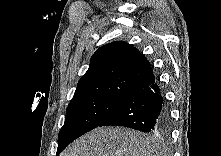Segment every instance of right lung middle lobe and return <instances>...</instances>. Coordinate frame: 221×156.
Wrapping results in <instances>:
<instances>
[{
	"label": "right lung middle lobe",
	"instance_id": "obj_1",
	"mask_svg": "<svg viewBox=\"0 0 221 156\" xmlns=\"http://www.w3.org/2000/svg\"><path fill=\"white\" fill-rule=\"evenodd\" d=\"M127 99L119 96L94 95L72 100L58 135L56 156L72 141L98 127Z\"/></svg>",
	"mask_w": 221,
	"mask_h": 156
}]
</instances>
